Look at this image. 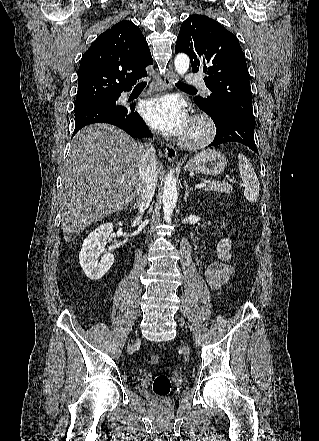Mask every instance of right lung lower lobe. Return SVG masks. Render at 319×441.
Segmentation results:
<instances>
[{
    "instance_id": "obj_1",
    "label": "right lung lower lobe",
    "mask_w": 319,
    "mask_h": 441,
    "mask_svg": "<svg viewBox=\"0 0 319 441\" xmlns=\"http://www.w3.org/2000/svg\"><path fill=\"white\" fill-rule=\"evenodd\" d=\"M131 88L124 91H129ZM120 94L116 96V100ZM116 100L105 104H95L75 111V130L72 137L84 126L92 123L115 125L134 138L152 137L151 131L134 111L135 104L129 107L116 105Z\"/></svg>"
}]
</instances>
